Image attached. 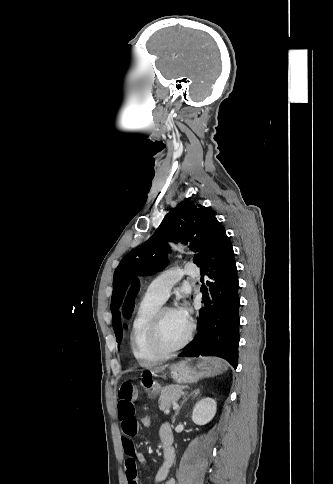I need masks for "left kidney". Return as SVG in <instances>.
Returning <instances> with one entry per match:
<instances>
[{"label": "left kidney", "mask_w": 333, "mask_h": 484, "mask_svg": "<svg viewBox=\"0 0 333 484\" xmlns=\"http://www.w3.org/2000/svg\"><path fill=\"white\" fill-rule=\"evenodd\" d=\"M216 401L204 398L198 401L193 409L192 420L197 425H205L210 422L216 413Z\"/></svg>", "instance_id": "1"}]
</instances>
